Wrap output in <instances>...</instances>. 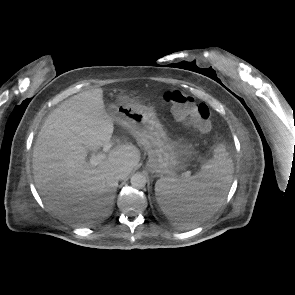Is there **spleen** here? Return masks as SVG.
<instances>
[{
    "instance_id": "3e777b00",
    "label": "spleen",
    "mask_w": 295,
    "mask_h": 295,
    "mask_svg": "<svg viewBox=\"0 0 295 295\" xmlns=\"http://www.w3.org/2000/svg\"><path fill=\"white\" fill-rule=\"evenodd\" d=\"M233 162L226 148L218 145L214 157L201 171L191 177H162L155 184L158 203L165 208V215L183 228L195 226L208 217L205 209L219 206L228 191L233 176Z\"/></svg>"
}]
</instances>
